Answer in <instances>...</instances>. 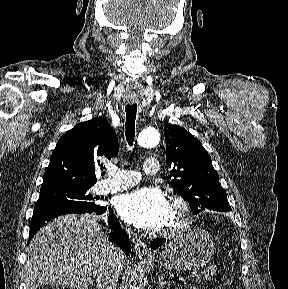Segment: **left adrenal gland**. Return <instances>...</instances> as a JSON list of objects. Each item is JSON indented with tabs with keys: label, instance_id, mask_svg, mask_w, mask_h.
Wrapping results in <instances>:
<instances>
[{
	"label": "left adrenal gland",
	"instance_id": "left-adrenal-gland-1",
	"mask_svg": "<svg viewBox=\"0 0 288 289\" xmlns=\"http://www.w3.org/2000/svg\"><path fill=\"white\" fill-rule=\"evenodd\" d=\"M159 289H162L165 285L170 284L169 281H164V276L158 277Z\"/></svg>",
	"mask_w": 288,
	"mask_h": 289
}]
</instances>
